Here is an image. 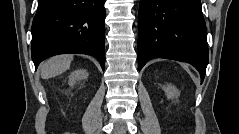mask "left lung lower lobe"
Listing matches in <instances>:
<instances>
[{
    "label": "left lung lower lobe",
    "instance_id": "obj_1",
    "mask_svg": "<svg viewBox=\"0 0 239 134\" xmlns=\"http://www.w3.org/2000/svg\"><path fill=\"white\" fill-rule=\"evenodd\" d=\"M153 58L188 62L203 81L208 45L200 0H140L138 70Z\"/></svg>",
    "mask_w": 239,
    "mask_h": 134
}]
</instances>
